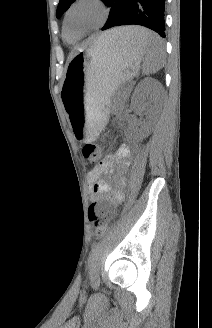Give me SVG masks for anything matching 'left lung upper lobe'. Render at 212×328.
Returning a JSON list of instances; mask_svg holds the SVG:
<instances>
[{
  "label": "left lung upper lobe",
  "mask_w": 212,
  "mask_h": 328,
  "mask_svg": "<svg viewBox=\"0 0 212 328\" xmlns=\"http://www.w3.org/2000/svg\"><path fill=\"white\" fill-rule=\"evenodd\" d=\"M74 1L75 0H60L56 11V17L59 18ZM102 1L105 2L106 0Z\"/></svg>",
  "instance_id": "left-lung-upper-lobe-1"
}]
</instances>
